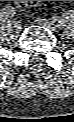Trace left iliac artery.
<instances>
[{
  "label": "left iliac artery",
  "mask_w": 74,
  "mask_h": 122,
  "mask_svg": "<svg viewBox=\"0 0 74 122\" xmlns=\"http://www.w3.org/2000/svg\"><path fill=\"white\" fill-rule=\"evenodd\" d=\"M52 19H53V22H54V23H57L58 26H59V23H60L61 21H60L59 19H57L56 17H53Z\"/></svg>",
  "instance_id": "44dca946"
}]
</instances>
